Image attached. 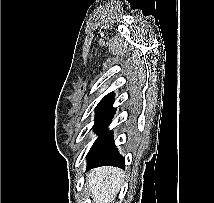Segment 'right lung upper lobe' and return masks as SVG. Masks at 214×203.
<instances>
[{
  "instance_id": "1",
  "label": "right lung upper lobe",
  "mask_w": 214,
  "mask_h": 203,
  "mask_svg": "<svg viewBox=\"0 0 214 203\" xmlns=\"http://www.w3.org/2000/svg\"><path fill=\"white\" fill-rule=\"evenodd\" d=\"M103 99H114V93L113 92L109 93Z\"/></svg>"
}]
</instances>
